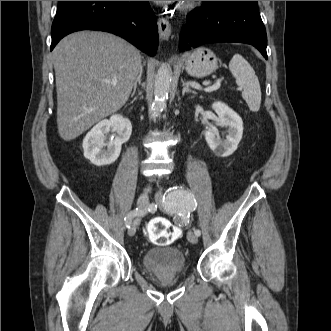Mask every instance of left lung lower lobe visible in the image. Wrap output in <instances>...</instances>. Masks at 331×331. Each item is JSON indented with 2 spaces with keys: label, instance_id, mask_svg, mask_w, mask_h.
I'll use <instances>...</instances> for the list:
<instances>
[{
  "label": "left lung lower lobe",
  "instance_id": "left-lung-lower-lobe-1",
  "mask_svg": "<svg viewBox=\"0 0 331 331\" xmlns=\"http://www.w3.org/2000/svg\"><path fill=\"white\" fill-rule=\"evenodd\" d=\"M187 16L180 48L205 43L241 42L255 46L267 59V36L257 1H204Z\"/></svg>",
  "mask_w": 331,
  "mask_h": 331
}]
</instances>
